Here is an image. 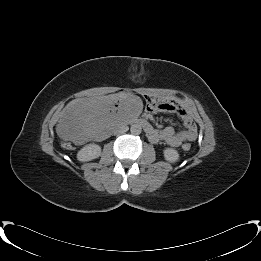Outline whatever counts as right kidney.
<instances>
[{"label":"right kidney","instance_id":"ca27d5eb","mask_svg":"<svg viewBox=\"0 0 261 261\" xmlns=\"http://www.w3.org/2000/svg\"><path fill=\"white\" fill-rule=\"evenodd\" d=\"M101 155V147L98 144L90 143L81 148L77 153V159L81 162L91 161Z\"/></svg>","mask_w":261,"mask_h":261}]
</instances>
